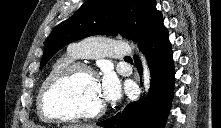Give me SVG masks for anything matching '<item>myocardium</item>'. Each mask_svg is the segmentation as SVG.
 I'll use <instances>...</instances> for the list:
<instances>
[{"instance_id":"1","label":"myocardium","mask_w":221,"mask_h":128,"mask_svg":"<svg viewBox=\"0 0 221 128\" xmlns=\"http://www.w3.org/2000/svg\"><path fill=\"white\" fill-rule=\"evenodd\" d=\"M78 73H86L97 79V74L92 67L84 63L74 62L64 67L42 86L38 94L37 105L38 112L43 119L58 120L62 122L93 120L99 118L105 112L106 105L104 102L95 110L84 111L81 113H62L49 107L48 101L51 92L66 83Z\"/></svg>"}]
</instances>
